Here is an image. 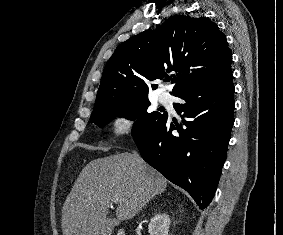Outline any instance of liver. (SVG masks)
I'll return each instance as SVG.
<instances>
[{
  "instance_id": "1",
  "label": "liver",
  "mask_w": 283,
  "mask_h": 235,
  "mask_svg": "<svg viewBox=\"0 0 283 235\" xmlns=\"http://www.w3.org/2000/svg\"><path fill=\"white\" fill-rule=\"evenodd\" d=\"M167 180L138 154L121 153L89 162L80 172L62 208L63 235H111L110 226L133 218ZM118 197L116 219L107 213Z\"/></svg>"
}]
</instances>
